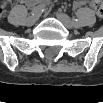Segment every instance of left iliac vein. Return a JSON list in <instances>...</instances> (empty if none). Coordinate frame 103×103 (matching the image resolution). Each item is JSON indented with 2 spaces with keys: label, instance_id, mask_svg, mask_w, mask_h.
I'll use <instances>...</instances> for the list:
<instances>
[{
  "label": "left iliac vein",
  "instance_id": "4c4485c4",
  "mask_svg": "<svg viewBox=\"0 0 103 103\" xmlns=\"http://www.w3.org/2000/svg\"><path fill=\"white\" fill-rule=\"evenodd\" d=\"M57 18L62 22V24L68 28V29H72L73 28V22L71 21V19L64 13H56Z\"/></svg>",
  "mask_w": 103,
  "mask_h": 103
}]
</instances>
